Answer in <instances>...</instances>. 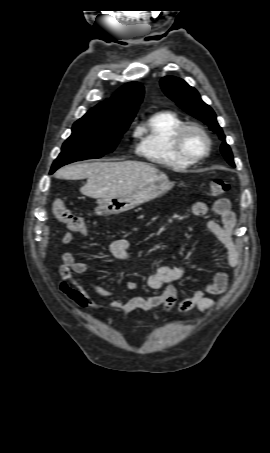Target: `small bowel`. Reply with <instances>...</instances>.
<instances>
[{
  "label": "small bowel",
  "mask_w": 270,
  "mask_h": 453,
  "mask_svg": "<svg viewBox=\"0 0 270 453\" xmlns=\"http://www.w3.org/2000/svg\"><path fill=\"white\" fill-rule=\"evenodd\" d=\"M213 210L219 220H210L207 223L208 230L227 250V265L233 271L237 270L240 264V246L233 240L235 228V215L231 210L227 198H221L214 202ZM208 212L205 202L199 201L193 204L192 213L202 217ZM74 236L70 232L63 234L61 243L70 245ZM129 243L126 239H115L110 244V252L120 261L129 260ZM62 265L59 274L62 278L60 290L80 308H106L119 312L120 319L124 321L125 315L129 312L142 309L153 311L161 307L165 312L176 309L179 313H186L194 308L202 312L209 311L216 306L215 300L208 295H220L226 291L230 282V275L225 271L215 273L206 283L203 289L194 291L192 296L178 302V292L173 283L183 281L186 278V270L182 266H162L147 278L149 288L159 290L157 294L149 296H135L127 300L118 297L112 290L91 282L92 291L99 297L111 299L107 306H101L93 300L85 288L80 284L76 275H84L87 272V265L77 261L72 253L66 252L62 255ZM138 288L136 281L130 280L126 283L127 291H134Z\"/></svg>",
  "instance_id": "c3829d8e"
}]
</instances>
